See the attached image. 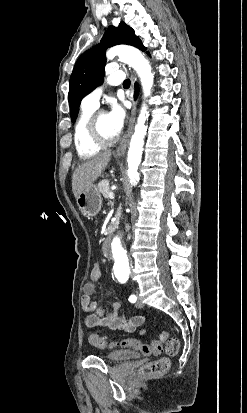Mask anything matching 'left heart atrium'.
<instances>
[{"label": "left heart atrium", "mask_w": 247, "mask_h": 413, "mask_svg": "<svg viewBox=\"0 0 247 413\" xmlns=\"http://www.w3.org/2000/svg\"><path fill=\"white\" fill-rule=\"evenodd\" d=\"M104 118L105 125L109 127L115 137L118 136L123 128L125 119L123 108L116 101H111L110 109Z\"/></svg>", "instance_id": "left-heart-atrium-1"}]
</instances>
